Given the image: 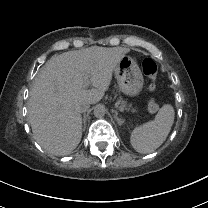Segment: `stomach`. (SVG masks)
<instances>
[{
  "label": "stomach",
  "instance_id": "obj_1",
  "mask_svg": "<svg viewBox=\"0 0 208 208\" xmlns=\"http://www.w3.org/2000/svg\"><path fill=\"white\" fill-rule=\"evenodd\" d=\"M115 76L121 92L129 97L138 96L144 85V77L135 60L124 56L115 69Z\"/></svg>",
  "mask_w": 208,
  "mask_h": 208
}]
</instances>
